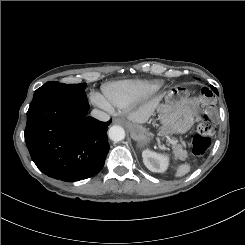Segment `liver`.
I'll return each mask as SVG.
<instances>
[{"label":"liver","instance_id":"6515ba94","mask_svg":"<svg viewBox=\"0 0 245 245\" xmlns=\"http://www.w3.org/2000/svg\"><path fill=\"white\" fill-rule=\"evenodd\" d=\"M157 102L150 101L140 106L136 111L128 115V119L134 123H146L156 109Z\"/></svg>","mask_w":245,"mask_h":245}]
</instances>
